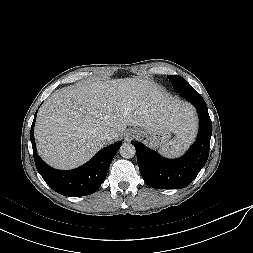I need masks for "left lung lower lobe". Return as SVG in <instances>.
I'll use <instances>...</instances> for the list:
<instances>
[{"label": "left lung lower lobe", "mask_w": 253, "mask_h": 253, "mask_svg": "<svg viewBox=\"0 0 253 253\" xmlns=\"http://www.w3.org/2000/svg\"><path fill=\"white\" fill-rule=\"evenodd\" d=\"M182 95L193 103L199 114L197 139L184 156L173 160L165 159L142 143L132 141L140 173L144 181L155 189H180L188 186L208 159L212 123L206 103L194 88Z\"/></svg>", "instance_id": "left-lung-lower-lobe-1"}]
</instances>
